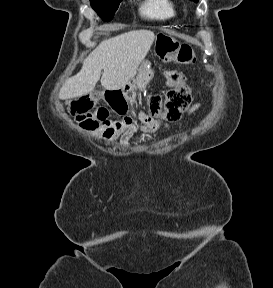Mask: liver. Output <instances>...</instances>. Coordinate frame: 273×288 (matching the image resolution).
Segmentation results:
<instances>
[{
    "label": "liver",
    "mask_w": 273,
    "mask_h": 288,
    "mask_svg": "<svg viewBox=\"0 0 273 288\" xmlns=\"http://www.w3.org/2000/svg\"><path fill=\"white\" fill-rule=\"evenodd\" d=\"M154 40L150 30H133L102 41L84 60L82 69L65 81L59 98L68 100L91 93L100 77L105 89H121L136 75Z\"/></svg>",
    "instance_id": "obj_1"
}]
</instances>
